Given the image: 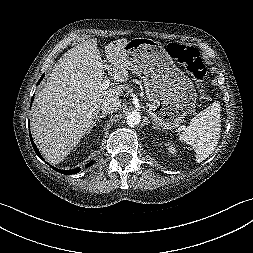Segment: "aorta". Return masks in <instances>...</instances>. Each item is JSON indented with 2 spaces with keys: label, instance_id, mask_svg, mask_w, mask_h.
<instances>
[{
  "label": "aorta",
  "instance_id": "1",
  "mask_svg": "<svg viewBox=\"0 0 253 253\" xmlns=\"http://www.w3.org/2000/svg\"><path fill=\"white\" fill-rule=\"evenodd\" d=\"M141 122V116L138 112H131L127 115V124L129 126H136Z\"/></svg>",
  "mask_w": 253,
  "mask_h": 253
}]
</instances>
